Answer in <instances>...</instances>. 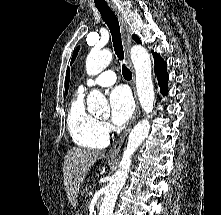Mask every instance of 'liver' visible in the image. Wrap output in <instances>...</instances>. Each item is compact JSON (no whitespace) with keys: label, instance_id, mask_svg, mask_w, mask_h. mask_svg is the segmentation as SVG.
I'll return each instance as SVG.
<instances>
[{"label":"liver","instance_id":"1","mask_svg":"<svg viewBox=\"0 0 221 215\" xmlns=\"http://www.w3.org/2000/svg\"><path fill=\"white\" fill-rule=\"evenodd\" d=\"M99 150L72 148L68 150L63 164V181L67 198L75 208L81 185L91 166L104 157Z\"/></svg>","mask_w":221,"mask_h":215}]
</instances>
